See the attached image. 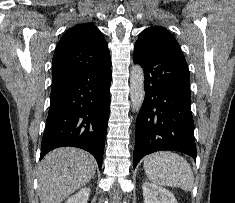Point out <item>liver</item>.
I'll return each instance as SVG.
<instances>
[{"label": "liver", "mask_w": 235, "mask_h": 203, "mask_svg": "<svg viewBox=\"0 0 235 203\" xmlns=\"http://www.w3.org/2000/svg\"><path fill=\"white\" fill-rule=\"evenodd\" d=\"M94 157L73 147L58 148L48 153L40 163L38 194L41 203H61L86 185L96 171Z\"/></svg>", "instance_id": "6515ba94"}]
</instances>
